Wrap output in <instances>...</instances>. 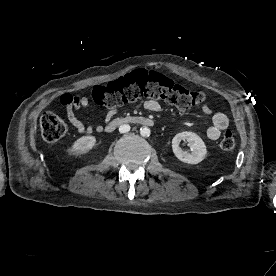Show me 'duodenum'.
Returning <instances> with one entry per match:
<instances>
[{"mask_svg":"<svg viewBox=\"0 0 276 276\" xmlns=\"http://www.w3.org/2000/svg\"><path fill=\"white\" fill-rule=\"evenodd\" d=\"M123 124H134V125H143V126H152L153 121L147 117L143 116H122L117 117L111 120L105 127L106 132L114 131L118 126Z\"/></svg>","mask_w":276,"mask_h":276,"instance_id":"obj_1","label":"duodenum"}]
</instances>
